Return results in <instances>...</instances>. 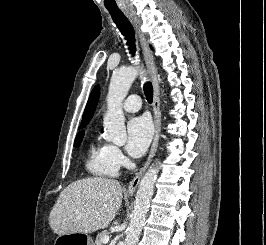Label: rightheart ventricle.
I'll list each match as a JSON object with an SVG mask.
<instances>
[{
  "mask_svg": "<svg viewBox=\"0 0 266 245\" xmlns=\"http://www.w3.org/2000/svg\"><path fill=\"white\" fill-rule=\"evenodd\" d=\"M85 166L89 174L102 179L115 178L119 173V167L111 156L110 145L96 137L88 143Z\"/></svg>",
  "mask_w": 266,
  "mask_h": 245,
  "instance_id": "1",
  "label": "right heart ventricle"
}]
</instances>
